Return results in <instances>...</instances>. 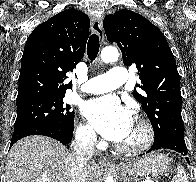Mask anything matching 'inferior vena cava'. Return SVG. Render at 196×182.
Instances as JSON below:
<instances>
[{
	"mask_svg": "<svg viewBox=\"0 0 196 182\" xmlns=\"http://www.w3.org/2000/svg\"><path fill=\"white\" fill-rule=\"evenodd\" d=\"M95 142L96 135L93 131L81 133L72 141L71 182H86L87 165L93 156Z\"/></svg>",
	"mask_w": 196,
	"mask_h": 182,
	"instance_id": "obj_1",
	"label": "inferior vena cava"
}]
</instances>
